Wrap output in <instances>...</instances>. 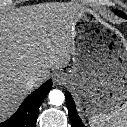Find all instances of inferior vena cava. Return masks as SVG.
I'll return each instance as SVG.
<instances>
[{
  "instance_id": "602c4592",
  "label": "inferior vena cava",
  "mask_w": 127,
  "mask_h": 127,
  "mask_svg": "<svg viewBox=\"0 0 127 127\" xmlns=\"http://www.w3.org/2000/svg\"><path fill=\"white\" fill-rule=\"evenodd\" d=\"M40 76H32L28 79L26 86L29 89H33L35 86V83L37 82V80L39 79Z\"/></svg>"
}]
</instances>
